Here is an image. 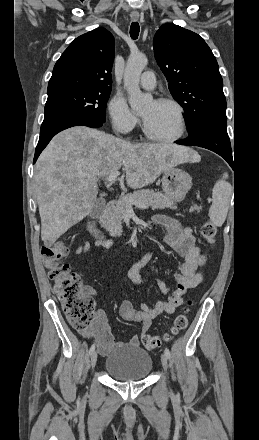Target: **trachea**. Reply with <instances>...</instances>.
<instances>
[{
  "instance_id": "obj_1",
  "label": "trachea",
  "mask_w": 259,
  "mask_h": 440,
  "mask_svg": "<svg viewBox=\"0 0 259 440\" xmlns=\"http://www.w3.org/2000/svg\"><path fill=\"white\" fill-rule=\"evenodd\" d=\"M140 27L138 22H133L130 26V36L132 39H137L139 36Z\"/></svg>"
}]
</instances>
